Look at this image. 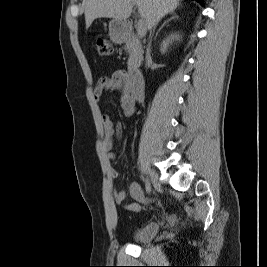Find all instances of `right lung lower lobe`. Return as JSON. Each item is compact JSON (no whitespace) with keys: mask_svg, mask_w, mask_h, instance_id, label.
<instances>
[{"mask_svg":"<svg viewBox=\"0 0 267 267\" xmlns=\"http://www.w3.org/2000/svg\"><path fill=\"white\" fill-rule=\"evenodd\" d=\"M195 1L199 2L201 5L204 4V0H195Z\"/></svg>","mask_w":267,"mask_h":267,"instance_id":"obj_1","label":"right lung lower lobe"}]
</instances>
